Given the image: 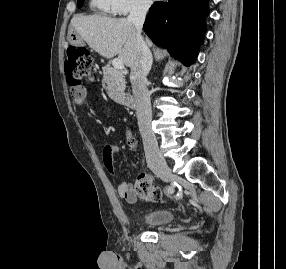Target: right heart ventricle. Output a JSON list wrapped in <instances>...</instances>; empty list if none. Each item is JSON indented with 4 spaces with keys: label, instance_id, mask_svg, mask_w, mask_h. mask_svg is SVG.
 <instances>
[{
    "label": "right heart ventricle",
    "instance_id": "e07e8e85",
    "mask_svg": "<svg viewBox=\"0 0 286 269\" xmlns=\"http://www.w3.org/2000/svg\"><path fill=\"white\" fill-rule=\"evenodd\" d=\"M90 7L93 11L110 15L114 13L111 0H90Z\"/></svg>",
    "mask_w": 286,
    "mask_h": 269
}]
</instances>
